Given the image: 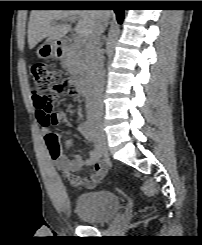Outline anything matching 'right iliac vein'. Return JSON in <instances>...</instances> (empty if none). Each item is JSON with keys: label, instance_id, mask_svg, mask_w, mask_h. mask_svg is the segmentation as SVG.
<instances>
[{"label": "right iliac vein", "instance_id": "right-iliac-vein-1", "mask_svg": "<svg viewBox=\"0 0 202 245\" xmlns=\"http://www.w3.org/2000/svg\"><path fill=\"white\" fill-rule=\"evenodd\" d=\"M90 123L92 124L94 130L102 137L104 138V133H103V123L101 120H96L93 117H88Z\"/></svg>", "mask_w": 202, "mask_h": 245}]
</instances>
